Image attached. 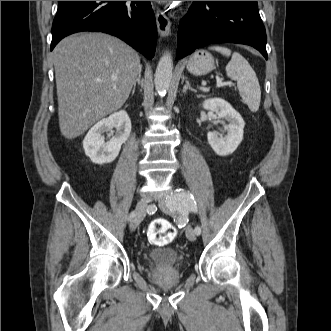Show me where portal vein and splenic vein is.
Segmentation results:
<instances>
[{
	"instance_id": "portal-vein-and-splenic-vein-1",
	"label": "portal vein and splenic vein",
	"mask_w": 331,
	"mask_h": 331,
	"mask_svg": "<svg viewBox=\"0 0 331 331\" xmlns=\"http://www.w3.org/2000/svg\"><path fill=\"white\" fill-rule=\"evenodd\" d=\"M226 84H232L231 82H223V79L217 78V87H221Z\"/></svg>"
}]
</instances>
